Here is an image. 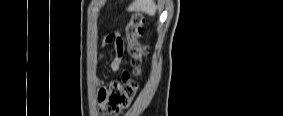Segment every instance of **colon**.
Listing matches in <instances>:
<instances>
[{
    "instance_id": "obj_1",
    "label": "colon",
    "mask_w": 283,
    "mask_h": 116,
    "mask_svg": "<svg viewBox=\"0 0 283 116\" xmlns=\"http://www.w3.org/2000/svg\"><path fill=\"white\" fill-rule=\"evenodd\" d=\"M143 26V15L133 14L124 27L127 40L125 53L130 59L133 75L124 74L121 81H114L101 87L98 92V110L102 115L116 114L129 106L138 88L136 76L139 74L144 57L145 48L138 38ZM121 41V38L118 37Z\"/></svg>"
}]
</instances>
